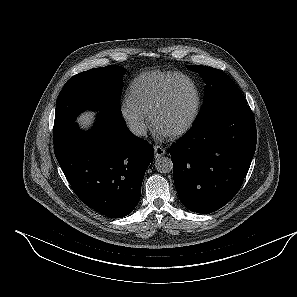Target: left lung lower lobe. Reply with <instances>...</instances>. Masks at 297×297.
Masks as SVG:
<instances>
[{
    "label": "left lung lower lobe",
    "instance_id": "left-lung-lower-lobe-1",
    "mask_svg": "<svg viewBox=\"0 0 297 297\" xmlns=\"http://www.w3.org/2000/svg\"><path fill=\"white\" fill-rule=\"evenodd\" d=\"M203 117L169 152L181 202L193 212L207 214L239 191L255 153L257 132L247 104Z\"/></svg>",
    "mask_w": 297,
    "mask_h": 297
}]
</instances>
